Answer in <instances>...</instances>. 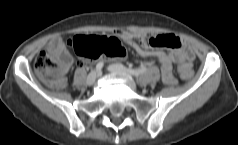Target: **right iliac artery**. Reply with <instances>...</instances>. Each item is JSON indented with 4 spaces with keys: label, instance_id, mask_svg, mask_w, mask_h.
Masks as SVG:
<instances>
[{
    "label": "right iliac artery",
    "instance_id": "obj_1",
    "mask_svg": "<svg viewBox=\"0 0 238 145\" xmlns=\"http://www.w3.org/2000/svg\"><path fill=\"white\" fill-rule=\"evenodd\" d=\"M104 66V63L103 62H99L97 65H96V70L97 71H100Z\"/></svg>",
    "mask_w": 238,
    "mask_h": 145
}]
</instances>
